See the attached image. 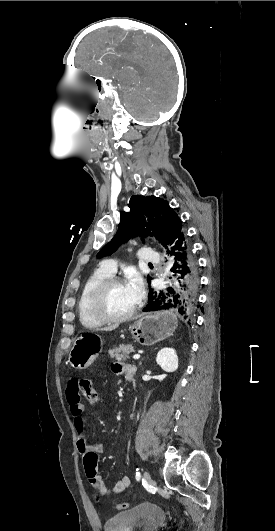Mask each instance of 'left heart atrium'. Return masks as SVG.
<instances>
[{"label":"left heart atrium","mask_w":275,"mask_h":531,"mask_svg":"<svg viewBox=\"0 0 275 531\" xmlns=\"http://www.w3.org/2000/svg\"><path fill=\"white\" fill-rule=\"evenodd\" d=\"M126 284L135 303H137L141 297L143 290V281L140 274L135 270L129 272L126 279Z\"/></svg>","instance_id":"left-heart-atrium-1"}]
</instances>
